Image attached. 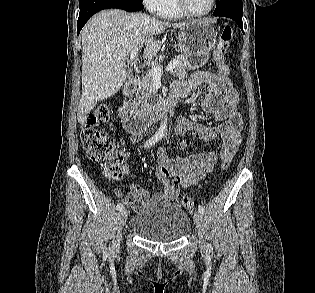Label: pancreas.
Wrapping results in <instances>:
<instances>
[{
	"label": "pancreas",
	"mask_w": 315,
	"mask_h": 293,
	"mask_svg": "<svg viewBox=\"0 0 315 293\" xmlns=\"http://www.w3.org/2000/svg\"><path fill=\"white\" fill-rule=\"evenodd\" d=\"M178 64L175 67V75L179 79H185L188 76L189 61L186 56L180 55L176 57ZM136 100L130 103L131 107L141 114H146L150 110L148 99L156 95V89L153 86V76L149 72L142 80L138 82L136 88Z\"/></svg>",
	"instance_id": "1"
}]
</instances>
